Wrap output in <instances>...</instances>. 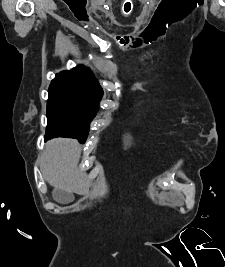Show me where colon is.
I'll return each mask as SVG.
<instances>
[{"mask_svg":"<svg viewBox=\"0 0 225 267\" xmlns=\"http://www.w3.org/2000/svg\"><path fill=\"white\" fill-rule=\"evenodd\" d=\"M124 6H125V10H124L125 13L129 14L131 11V7H132L131 3H126Z\"/></svg>","mask_w":225,"mask_h":267,"instance_id":"colon-1","label":"colon"}]
</instances>
